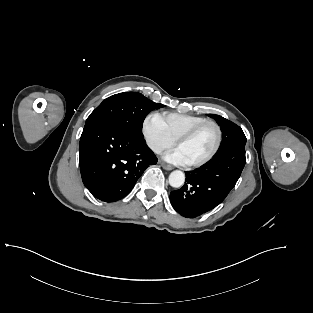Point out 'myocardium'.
<instances>
[{
  "mask_svg": "<svg viewBox=\"0 0 313 313\" xmlns=\"http://www.w3.org/2000/svg\"><path fill=\"white\" fill-rule=\"evenodd\" d=\"M213 126L216 130V143L214 148L212 149V151L203 159L196 161V162H192L189 163V166L191 167H201L205 164H207L208 162H210L218 153L221 144H222V138H223V133H222V128L220 126V124L214 120H206L194 127H192L191 129H189L188 131H186L185 133H183L182 135H180L177 139H176V145H179L183 142H186L188 140H190L191 138H193L199 131H201L203 128H205L206 126Z\"/></svg>",
  "mask_w": 313,
  "mask_h": 313,
  "instance_id": "myocardium-1",
  "label": "myocardium"
}]
</instances>
